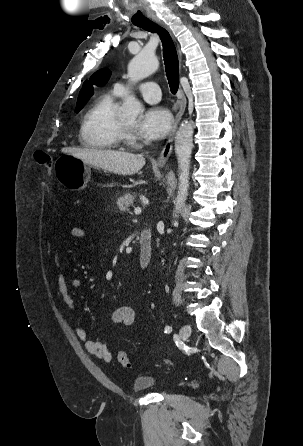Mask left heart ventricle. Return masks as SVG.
I'll return each instance as SVG.
<instances>
[{
  "mask_svg": "<svg viewBox=\"0 0 303 446\" xmlns=\"http://www.w3.org/2000/svg\"><path fill=\"white\" fill-rule=\"evenodd\" d=\"M128 127H132L134 125V122L131 120H124L123 121Z\"/></svg>",
  "mask_w": 303,
  "mask_h": 446,
  "instance_id": "1",
  "label": "left heart ventricle"
}]
</instances>
